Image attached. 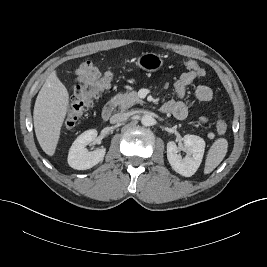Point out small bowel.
Masks as SVG:
<instances>
[{"instance_id":"1","label":"small bowel","mask_w":267,"mask_h":267,"mask_svg":"<svg viewBox=\"0 0 267 267\" xmlns=\"http://www.w3.org/2000/svg\"><path fill=\"white\" fill-rule=\"evenodd\" d=\"M101 76L98 68L91 62H83L75 71L76 85H91ZM195 71L183 73L174 83L175 99L169 100L163 106L165 112L171 113L177 119H184L188 115L189 107L182 101L185 96L187 87L198 77ZM195 96L200 102H208L213 97L212 89L207 85H199L195 90ZM206 121V119H202Z\"/></svg>"}]
</instances>
